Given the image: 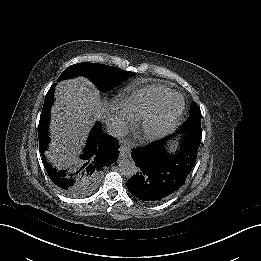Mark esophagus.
Instances as JSON below:
<instances>
[{
    "label": "esophagus",
    "mask_w": 261,
    "mask_h": 261,
    "mask_svg": "<svg viewBox=\"0 0 261 261\" xmlns=\"http://www.w3.org/2000/svg\"><path fill=\"white\" fill-rule=\"evenodd\" d=\"M120 154L122 157L128 158L130 154V148L126 142H123V144L120 146Z\"/></svg>",
    "instance_id": "1"
}]
</instances>
